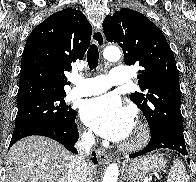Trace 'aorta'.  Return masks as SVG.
<instances>
[{"label":"aorta","mask_w":196,"mask_h":182,"mask_svg":"<svg viewBox=\"0 0 196 182\" xmlns=\"http://www.w3.org/2000/svg\"><path fill=\"white\" fill-rule=\"evenodd\" d=\"M103 56L108 61H118L121 58V51L116 47H107ZM119 176V169L116 163H111L104 174L102 182H117Z\"/></svg>","instance_id":"obj_1"}]
</instances>
